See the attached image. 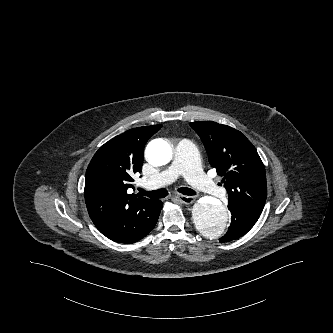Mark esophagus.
<instances>
[{
  "label": "esophagus",
  "instance_id": "obj_1",
  "mask_svg": "<svg viewBox=\"0 0 333 333\" xmlns=\"http://www.w3.org/2000/svg\"><path fill=\"white\" fill-rule=\"evenodd\" d=\"M178 199L181 203L185 205H190L195 201L193 196H186V195H178Z\"/></svg>",
  "mask_w": 333,
  "mask_h": 333
}]
</instances>
